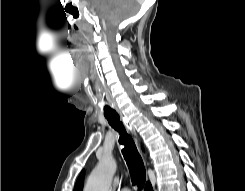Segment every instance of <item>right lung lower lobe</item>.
Here are the masks:
<instances>
[{"instance_id":"right-lung-lower-lobe-1","label":"right lung lower lobe","mask_w":245,"mask_h":191,"mask_svg":"<svg viewBox=\"0 0 245 191\" xmlns=\"http://www.w3.org/2000/svg\"><path fill=\"white\" fill-rule=\"evenodd\" d=\"M145 191H153V188H152V185H151L150 182H147V183H146Z\"/></svg>"}]
</instances>
